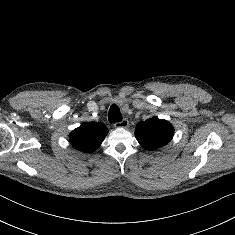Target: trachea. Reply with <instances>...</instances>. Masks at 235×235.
I'll use <instances>...</instances> for the list:
<instances>
[{
  "instance_id": "3493384b",
  "label": "trachea",
  "mask_w": 235,
  "mask_h": 235,
  "mask_svg": "<svg viewBox=\"0 0 235 235\" xmlns=\"http://www.w3.org/2000/svg\"><path fill=\"white\" fill-rule=\"evenodd\" d=\"M108 120L110 123L122 121V114L120 112L119 107L116 104L111 105L108 113Z\"/></svg>"
}]
</instances>
